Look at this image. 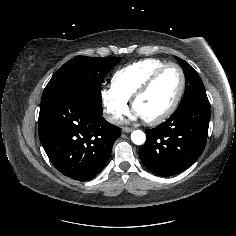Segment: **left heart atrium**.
Listing matches in <instances>:
<instances>
[{
  "label": "left heart atrium",
  "mask_w": 236,
  "mask_h": 236,
  "mask_svg": "<svg viewBox=\"0 0 236 236\" xmlns=\"http://www.w3.org/2000/svg\"><path fill=\"white\" fill-rule=\"evenodd\" d=\"M135 117H136V118H141L137 113L135 114Z\"/></svg>",
  "instance_id": "39dd6f15"
}]
</instances>
